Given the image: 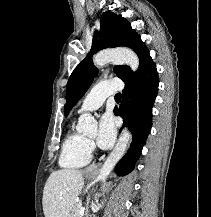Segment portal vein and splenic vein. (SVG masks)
<instances>
[{"label":"portal vein and splenic vein","instance_id":"18ae733b","mask_svg":"<svg viewBox=\"0 0 211 217\" xmlns=\"http://www.w3.org/2000/svg\"><path fill=\"white\" fill-rule=\"evenodd\" d=\"M84 212H85V207H81V208H80V212H79L80 215L83 216V215H84Z\"/></svg>","mask_w":211,"mask_h":217}]
</instances>
